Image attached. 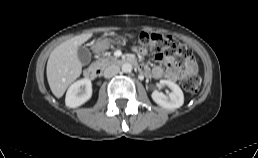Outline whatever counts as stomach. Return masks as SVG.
Returning a JSON list of instances; mask_svg holds the SVG:
<instances>
[{"label": "stomach", "mask_w": 258, "mask_h": 158, "mask_svg": "<svg viewBox=\"0 0 258 158\" xmlns=\"http://www.w3.org/2000/svg\"><path fill=\"white\" fill-rule=\"evenodd\" d=\"M116 41H119V39H109V38H103V39H98L94 45H93V49L95 52L99 53L102 52L106 49H108L111 45V43H114Z\"/></svg>", "instance_id": "1"}]
</instances>
